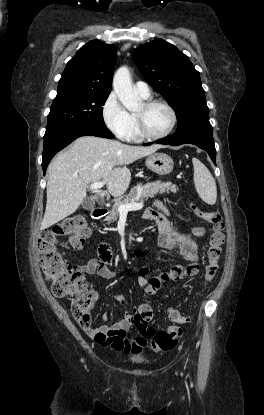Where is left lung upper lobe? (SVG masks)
<instances>
[{
  "mask_svg": "<svg viewBox=\"0 0 264 415\" xmlns=\"http://www.w3.org/2000/svg\"><path fill=\"white\" fill-rule=\"evenodd\" d=\"M132 56L148 84L173 107L178 127L209 115L199 72L174 45L156 39L135 49Z\"/></svg>",
  "mask_w": 264,
  "mask_h": 415,
  "instance_id": "1",
  "label": "left lung upper lobe"
}]
</instances>
